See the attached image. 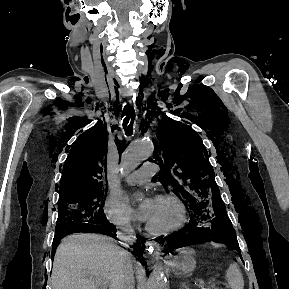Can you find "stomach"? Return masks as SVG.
Listing matches in <instances>:
<instances>
[{"label": "stomach", "mask_w": 289, "mask_h": 289, "mask_svg": "<svg viewBox=\"0 0 289 289\" xmlns=\"http://www.w3.org/2000/svg\"><path fill=\"white\" fill-rule=\"evenodd\" d=\"M195 267L194 251L190 248L181 249L180 254L172 260V268L179 275L189 274Z\"/></svg>", "instance_id": "stomach-1"}]
</instances>
